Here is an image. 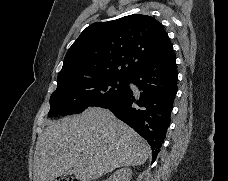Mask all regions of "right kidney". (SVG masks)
<instances>
[{
	"instance_id": "right-kidney-1",
	"label": "right kidney",
	"mask_w": 228,
	"mask_h": 181,
	"mask_svg": "<svg viewBox=\"0 0 228 181\" xmlns=\"http://www.w3.org/2000/svg\"><path fill=\"white\" fill-rule=\"evenodd\" d=\"M132 179V171L128 169V167H123V169H119V171H115L111 177H109L108 181H131Z\"/></svg>"
}]
</instances>
